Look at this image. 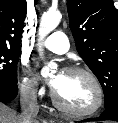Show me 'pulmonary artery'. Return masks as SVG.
I'll use <instances>...</instances> for the list:
<instances>
[{
	"label": "pulmonary artery",
	"instance_id": "e3ab8cb5",
	"mask_svg": "<svg viewBox=\"0 0 118 123\" xmlns=\"http://www.w3.org/2000/svg\"><path fill=\"white\" fill-rule=\"evenodd\" d=\"M42 45L54 53L64 54L69 49V40L65 33L62 31H56L47 37L42 42Z\"/></svg>",
	"mask_w": 118,
	"mask_h": 123
}]
</instances>
